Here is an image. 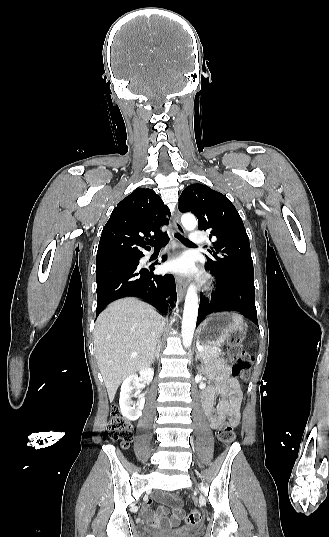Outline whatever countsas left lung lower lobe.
I'll return each instance as SVG.
<instances>
[{
    "instance_id": "obj_1",
    "label": "left lung lower lobe",
    "mask_w": 329,
    "mask_h": 537,
    "mask_svg": "<svg viewBox=\"0 0 329 537\" xmlns=\"http://www.w3.org/2000/svg\"><path fill=\"white\" fill-rule=\"evenodd\" d=\"M212 275L215 277L216 288L209 297L201 295L197 324L201 322L202 316L209 313L236 311L258 325L254 280L236 277L224 278L214 273Z\"/></svg>"
}]
</instances>
